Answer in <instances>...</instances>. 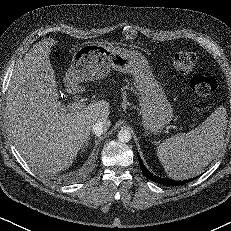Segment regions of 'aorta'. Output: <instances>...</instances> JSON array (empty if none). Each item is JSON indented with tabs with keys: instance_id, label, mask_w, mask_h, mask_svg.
<instances>
[{
	"instance_id": "aorta-1",
	"label": "aorta",
	"mask_w": 231,
	"mask_h": 231,
	"mask_svg": "<svg viewBox=\"0 0 231 231\" xmlns=\"http://www.w3.org/2000/svg\"><path fill=\"white\" fill-rule=\"evenodd\" d=\"M118 139L120 142L127 143L131 140V133L129 130L121 129L118 132Z\"/></svg>"
}]
</instances>
